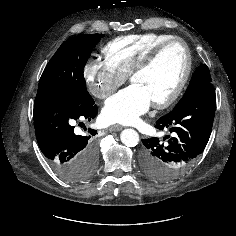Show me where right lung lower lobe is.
Masks as SVG:
<instances>
[{"label": "right lung lower lobe", "mask_w": 236, "mask_h": 236, "mask_svg": "<svg viewBox=\"0 0 236 236\" xmlns=\"http://www.w3.org/2000/svg\"><path fill=\"white\" fill-rule=\"evenodd\" d=\"M97 105L76 104L56 97L34 101V126L38 145L53 169L65 180L78 182L80 168L97 158L96 130L78 134L75 122L95 118ZM85 130H87L85 128Z\"/></svg>", "instance_id": "right-lung-lower-lobe-1"}]
</instances>
